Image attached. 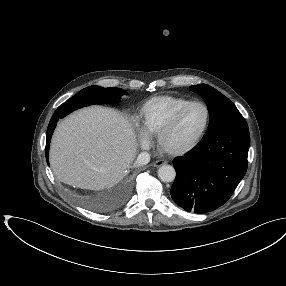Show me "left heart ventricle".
Here are the masks:
<instances>
[{
	"label": "left heart ventricle",
	"mask_w": 286,
	"mask_h": 286,
	"mask_svg": "<svg viewBox=\"0 0 286 286\" xmlns=\"http://www.w3.org/2000/svg\"><path fill=\"white\" fill-rule=\"evenodd\" d=\"M206 111L201 105L189 108L177 125L167 134L165 144L169 148H181L192 143L202 132Z\"/></svg>",
	"instance_id": "left-heart-ventricle-1"
}]
</instances>
